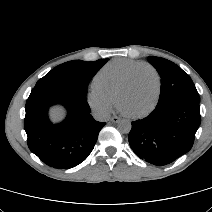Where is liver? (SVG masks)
Listing matches in <instances>:
<instances>
[{
	"mask_svg": "<svg viewBox=\"0 0 212 212\" xmlns=\"http://www.w3.org/2000/svg\"><path fill=\"white\" fill-rule=\"evenodd\" d=\"M52 116H53L54 118L59 117V116H60V110H58V109H53V110H52Z\"/></svg>",
	"mask_w": 212,
	"mask_h": 212,
	"instance_id": "obj_1",
	"label": "liver"
}]
</instances>
